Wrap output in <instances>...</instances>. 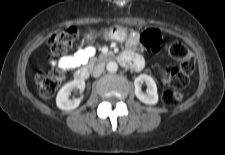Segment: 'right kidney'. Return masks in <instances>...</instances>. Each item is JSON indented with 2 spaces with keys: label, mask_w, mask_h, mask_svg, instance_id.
I'll return each instance as SVG.
<instances>
[{
  "label": "right kidney",
  "mask_w": 225,
  "mask_h": 155,
  "mask_svg": "<svg viewBox=\"0 0 225 155\" xmlns=\"http://www.w3.org/2000/svg\"><path fill=\"white\" fill-rule=\"evenodd\" d=\"M74 89H79L83 91L85 89V81L80 79H75L71 82L65 84L58 92L56 97V105L61 110H73L77 108L81 102V98L70 100L69 96L71 91Z\"/></svg>",
  "instance_id": "right-kidney-1"
}]
</instances>
